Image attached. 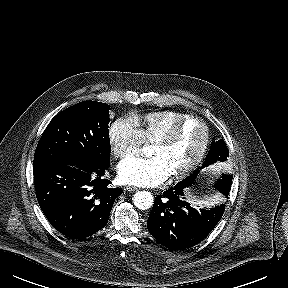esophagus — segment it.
<instances>
[{"label":"esophagus","mask_w":288,"mask_h":288,"mask_svg":"<svg viewBox=\"0 0 288 288\" xmlns=\"http://www.w3.org/2000/svg\"><path fill=\"white\" fill-rule=\"evenodd\" d=\"M124 190L125 191H128V192H134V191H137L138 188L134 187V186H125L124 187Z\"/></svg>","instance_id":"obj_1"}]
</instances>
